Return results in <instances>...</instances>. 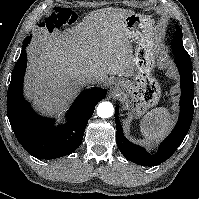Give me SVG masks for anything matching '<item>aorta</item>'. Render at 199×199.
Segmentation results:
<instances>
[{"label": "aorta", "mask_w": 199, "mask_h": 199, "mask_svg": "<svg viewBox=\"0 0 199 199\" xmlns=\"http://www.w3.org/2000/svg\"><path fill=\"white\" fill-rule=\"evenodd\" d=\"M114 113V107L110 102H101L97 107V114L101 118H109Z\"/></svg>", "instance_id": "obj_1"}]
</instances>
